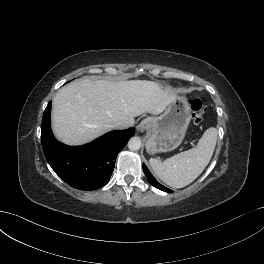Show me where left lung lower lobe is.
Masks as SVG:
<instances>
[{
    "label": "left lung lower lobe",
    "instance_id": "left-lung-lower-lobe-1",
    "mask_svg": "<svg viewBox=\"0 0 264 264\" xmlns=\"http://www.w3.org/2000/svg\"><path fill=\"white\" fill-rule=\"evenodd\" d=\"M143 171L145 173V175L147 176L148 181L156 188L168 192V193H172V191L164 186H162L160 183L157 182V180L153 177V175L150 173V171L147 169L146 165H143Z\"/></svg>",
    "mask_w": 264,
    "mask_h": 264
}]
</instances>
